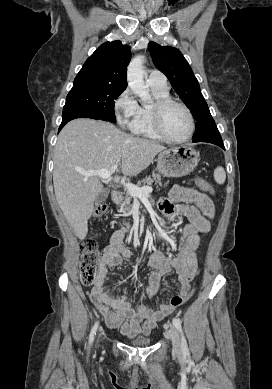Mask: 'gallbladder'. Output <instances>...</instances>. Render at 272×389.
<instances>
[{"label": "gallbladder", "mask_w": 272, "mask_h": 389, "mask_svg": "<svg viewBox=\"0 0 272 389\" xmlns=\"http://www.w3.org/2000/svg\"><path fill=\"white\" fill-rule=\"evenodd\" d=\"M109 189H107V188H104L98 195H97V197L95 198V202L96 203H101V202H104L106 199H107V197H108V195H109Z\"/></svg>", "instance_id": "bac80fb5"}]
</instances>
